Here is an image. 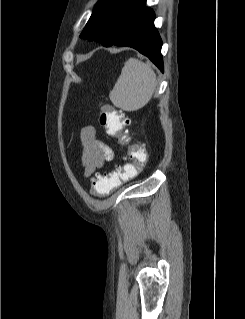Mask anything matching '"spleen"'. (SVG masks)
<instances>
[{
    "instance_id": "1",
    "label": "spleen",
    "mask_w": 245,
    "mask_h": 319,
    "mask_svg": "<svg viewBox=\"0 0 245 319\" xmlns=\"http://www.w3.org/2000/svg\"><path fill=\"white\" fill-rule=\"evenodd\" d=\"M157 77L150 63L130 58L122 68L109 97L111 102L125 111H137L152 98Z\"/></svg>"
}]
</instances>
